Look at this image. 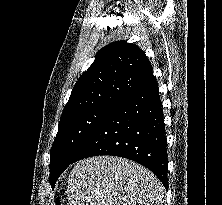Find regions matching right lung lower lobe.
Returning a JSON list of instances; mask_svg holds the SVG:
<instances>
[{
  "instance_id": "98d812e1",
  "label": "right lung lower lobe",
  "mask_w": 222,
  "mask_h": 205,
  "mask_svg": "<svg viewBox=\"0 0 222 205\" xmlns=\"http://www.w3.org/2000/svg\"><path fill=\"white\" fill-rule=\"evenodd\" d=\"M162 111L155 79L110 109L76 152L71 164L98 155L124 157L150 169L168 188Z\"/></svg>"
}]
</instances>
